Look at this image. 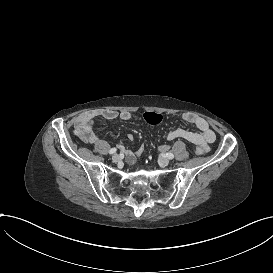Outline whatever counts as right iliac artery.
Masks as SVG:
<instances>
[{
	"label": "right iliac artery",
	"mask_w": 273,
	"mask_h": 273,
	"mask_svg": "<svg viewBox=\"0 0 273 273\" xmlns=\"http://www.w3.org/2000/svg\"><path fill=\"white\" fill-rule=\"evenodd\" d=\"M116 150H117L116 148H112V149H110L109 153H110V154H113V153L116 152Z\"/></svg>",
	"instance_id": "obj_1"
}]
</instances>
